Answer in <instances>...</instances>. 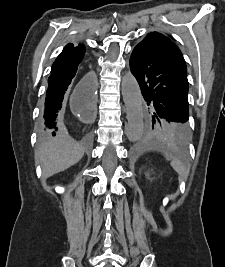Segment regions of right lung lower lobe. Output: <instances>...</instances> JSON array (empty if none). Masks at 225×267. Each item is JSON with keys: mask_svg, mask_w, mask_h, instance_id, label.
Instances as JSON below:
<instances>
[{"mask_svg": "<svg viewBox=\"0 0 225 267\" xmlns=\"http://www.w3.org/2000/svg\"><path fill=\"white\" fill-rule=\"evenodd\" d=\"M87 56L82 44H67L54 61L48 78L45 106L43 112V135H55L61 127L60 110L76 78L85 69ZM84 81L89 85L88 98H92L93 81L86 75Z\"/></svg>", "mask_w": 225, "mask_h": 267, "instance_id": "98d812e1", "label": "right lung lower lobe"}]
</instances>
